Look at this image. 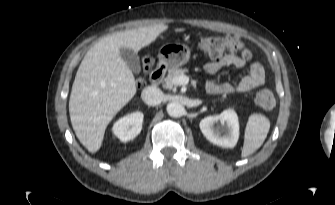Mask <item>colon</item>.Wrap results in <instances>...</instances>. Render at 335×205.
<instances>
[{
  "label": "colon",
  "mask_w": 335,
  "mask_h": 205,
  "mask_svg": "<svg viewBox=\"0 0 335 205\" xmlns=\"http://www.w3.org/2000/svg\"><path fill=\"white\" fill-rule=\"evenodd\" d=\"M199 46L210 59H220L225 54L240 52L244 58L250 57L249 49L244 45L240 38L236 36H215L204 37L200 40ZM144 71H149L152 66V59L145 57L142 62ZM144 79H138V85L142 86ZM256 103L263 109H272L275 106V97L269 89H262L256 95Z\"/></svg>",
  "instance_id": "5ec220e1"
}]
</instances>
